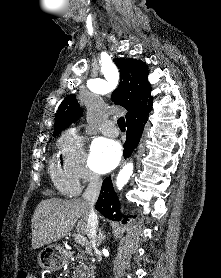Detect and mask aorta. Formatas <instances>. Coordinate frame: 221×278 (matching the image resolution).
I'll use <instances>...</instances> for the list:
<instances>
[{
  "label": "aorta",
  "mask_w": 221,
  "mask_h": 278,
  "mask_svg": "<svg viewBox=\"0 0 221 278\" xmlns=\"http://www.w3.org/2000/svg\"><path fill=\"white\" fill-rule=\"evenodd\" d=\"M133 173V164H126L119 172L116 178V186L119 190H121L124 185L129 181L131 175Z\"/></svg>",
  "instance_id": "aorta-1"
}]
</instances>
